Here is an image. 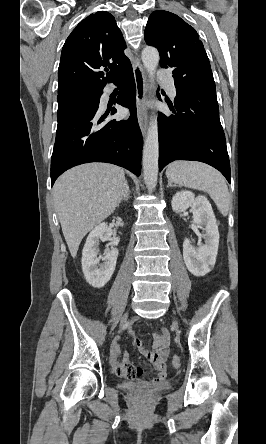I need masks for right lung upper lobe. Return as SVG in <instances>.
<instances>
[{"label":"right lung upper lobe","mask_w":266,"mask_h":444,"mask_svg":"<svg viewBox=\"0 0 266 444\" xmlns=\"http://www.w3.org/2000/svg\"><path fill=\"white\" fill-rule=\"evenodd\" d=\"M115 18L99 11L82 20L67 38L58 68V97L100 92L130 64ZM108 66L104 75L99 69Z\"/></svg>","instance_id":"1"}]
</instances>
